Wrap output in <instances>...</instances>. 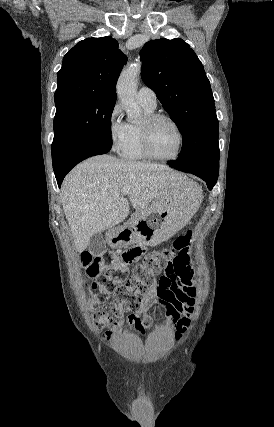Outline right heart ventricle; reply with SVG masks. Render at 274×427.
Instances as JSON below:
<instances>
[{
	"instance_id": "e07e8e85",
	"label": "right heart ventricle",
	"mask_w": 274,
	"mask_h": 427,
	"mask_svg": "<svg viewBox=\"0 0 274 427\" xmlns=\"http://www.w3.org/2000/svg\"><path fill=\"white\" fill-rule=\"evenodd\" d=\"M144 109L146 115L153 114L154 110ZM120 156L127 161H145L148 158L141 150L139 142V124H128L127 139L120 150Z\"/></svg>"
}]
</instances>
